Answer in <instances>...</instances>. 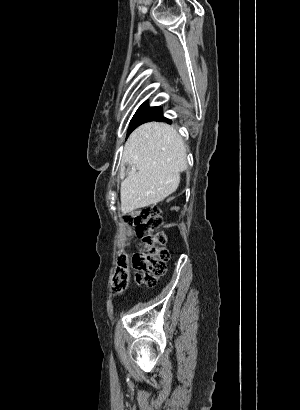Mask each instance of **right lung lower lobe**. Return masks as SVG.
Listing matches in <instances>:
<instances>
[{
    "instance_id": "obj_1",
    "label": "right lung lower lobe",
    "mask_w": 300,
    "mask_h": 410,
    "mask_svg": "<svg viewBox=\"0 0 300 410\" xmlns=\"http://www.w3.org/2000/svg\"><path fill=\"white\" fill-rule=\"evenodd\" d=\"M153 120H154V121H168L166 118L163 117L162 112H161V113L156 114V115H154V116H152V117H149L148 119H146V120L143 121L142 123L147 122V121H153ZM168 122H170V121H168Z\"/></svg>"
}]
</instances>
